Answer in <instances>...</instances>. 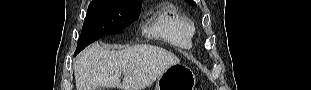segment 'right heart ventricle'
<instances>
[{"label": "right heart ventricle", "mask_w": 311, "mask_h": 90, "mask_svg": "<svg viewBox=\"0 0 311 90\" xmlns=\"http://www.w3.org/2000/svg\"><path fill=\"white\" fill-rule=\"evenodd\" d=\"M146 32L172 46L188 49L192 46L195 28L177 7L168 6L146 28Z\"/></svg>", "instance_id": "e07e8e85"}]
</instances>
